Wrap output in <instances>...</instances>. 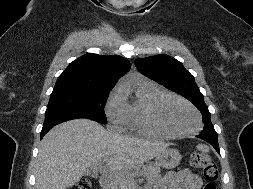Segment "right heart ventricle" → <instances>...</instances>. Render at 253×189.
<instances>
[{"label":"right heart ventricle","instance_id":"e07e8e85","mask_svg":"<svg viewBox=\"0 0 253 189\" xmlns=\"http://www.w3.org/2000/svg\"><path fill=\"white\" fill-rule=\"evenodd\" d=\"M166 93L163 89L149 82H139L134 87L135 100L127 104V126L134 131L165 136L154 130L148 122V112L153 101Z\"/></svg>","mask_w":253,"mask_h":189}]
</instances>
